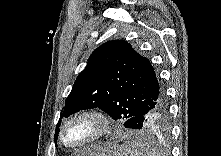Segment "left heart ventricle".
Returning a JSON list of instances; mask_svg holds the SVG:
<instances>
[{"mask_svg":"<svg viewBox=\"0 0 221 156\" xmlns=\"http://www.w3.org/2000/svg\"><path fill=\"white\" fill-rule=\"evenodd\" d=\"M95 130V124L88 119L71 123L65 130L64 139L67 143H78L88 138Z\"/></svg>","mask_w":221,"mask_h":156,"instance_id":"obj_1","label":"left heart ventricle"}]
</instances>
